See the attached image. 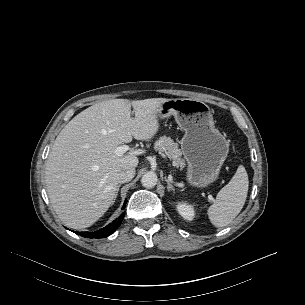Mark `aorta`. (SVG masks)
<instances>
[{
  "mask_svg": "<svg viewBox=\"0 0 305 305\" xmlns=\"http://www.w3.org/2000/svg\"><path fill=\"white\" fill-rule=\"evenodd\" d=\"M157 175L154 172H147L141 178V183L146 188H153L157 184Z\"/></svg>",
  "mask_w": 305,
  "mask_h": 305,
  "instance_id": "762f6f07",
  "label": "aorta"
}]
</instances>
